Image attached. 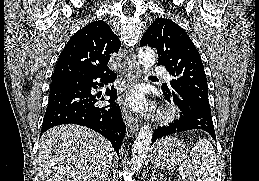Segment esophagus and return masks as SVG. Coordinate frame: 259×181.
<instances>
[{
    "label": "esophagus",
    "instance_id": "1",
    "mask_svg": "<svg viewBox=\"0 0 259 181\" xmlns=\"http://www.w3.org/2000/svg\"><path fill=\"white\" fill-rule=\"evenodd\" d=\"M140 75H141V70H140L139 64L135 60V57H131L128 61L127 87L129 88L133 86L139 80ZM123 117L127 126L131 131L138 130L140 126L139 118L131 115L125 107L123 108Z\"/></svg>",
    "mask_w": 259,
    "mask_h": 181
}]
</instances>
